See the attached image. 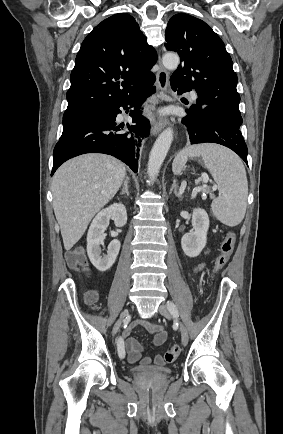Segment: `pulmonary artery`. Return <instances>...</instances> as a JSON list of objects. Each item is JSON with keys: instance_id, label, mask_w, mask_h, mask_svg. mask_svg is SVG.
I'll list each match as a JSON object with an SVG mask.
<instances>
[{"instance_id": "pulmonary-artery-1", "label": "pulmonary artery", "mask_w": 283, "mask_h": 434, "mask_svg": "<svg viewBox=\"0 0 283 434\" xmlns=\"http://www.w3.org/2000/svg\"><path fill=\"white\" fill-rule=\"evenodd\" d=\"M189 95L192 99H195L197 96L195 91H191Z\"/></svg>"}]
</instances>
